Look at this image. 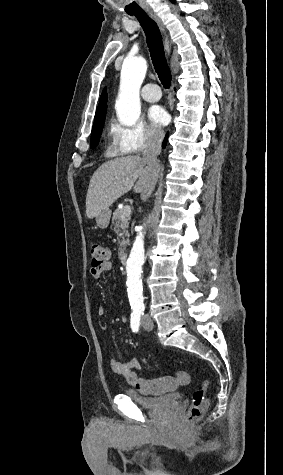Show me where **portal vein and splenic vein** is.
I'll return each mask as SVG.
<instances>
[{
  "mask_svg": "<svg viewBox=\"0 0 283 475\" xmlns=\"http://www.w3.org/2000/svg\"><path fill=\"white\" fill-rule=\"evenodd\" d=\"M122 208H123V206H122ZM126 212H128V214H130V212H131V210H130V206H127V208H126Z\"/></svg>",
  "mask_w": 283,
  "mask_h": 475,
  "instance_id": "1",
  "label": "portal vein and splenic vein"
}]
</instances>
